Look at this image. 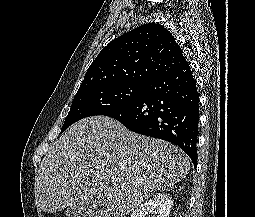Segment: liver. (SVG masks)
Returning <instances> with one entry per match:
<instances>
[{"instance_id":"6515ba94","label":"liver","mask_w":255,"mask_h":217,"mask_svg":"<svg viewBox=\"0 0 255 217\" xmlns=\"http://www.w3.org/2000/svg\"><path fill=\"white\" fill-rule=\"evenodd\" d=\"M189 170L190 159L177 146L94 116L70 126L51 146L40 164L35 199L48 213L86 201L95 217H123Z\"/></svg>"}]
</instances>
